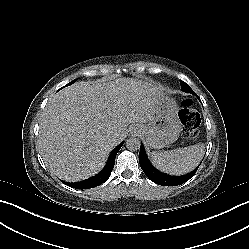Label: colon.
Segmentation results:
<instances>
[{"instance_id":"obj_1","label":"colon","mask_w":249,"mask_h":249,"mask_svg":"<svg viewBox=\"0 0 249 249\" xmlns=\"http://www.w3.org/2000/svg\"><path fill=\"white\" fill-rule=\"evenodd\" d=\"M180 118L183 123L184 137L194 140L198 135L200 117L193 107V101L189 98L182 101Z\"/></svg>"}]
</instances>
